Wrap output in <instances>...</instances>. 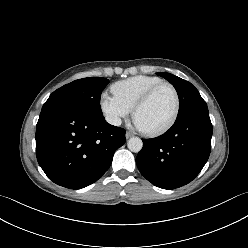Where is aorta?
I'll return each mask as SVG.
<instances>
[{
  "mask_svg": "<svg viewBox=\"0 0 248 248\" xmlns=\"http://www.w3.org/2000/svg\"><path fill=\"white\" fill-rule=\"evenodd\" d=\"M127 146H128L130 151L137 153V152L141 151V149L143 147V142L138 137H132L128 140Z\"/></svg>",
  "mask_w": 248,
  "mask_h": 248,
  "instance_id": "obj_1",
  "label": "aorta"
}]
</instances>
